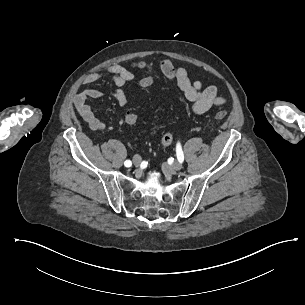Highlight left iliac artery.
<instances>
[{
  "label": "left iliac artery",
  "mask_w": 305,
  "mask_h": 305,
  "mask_svg": "<svg viewBox=\"0 0 305 305\" xmlns=\"http://www.w3.org/2000/svg\"><path fill=\"white\" fill-rule=\"evenodd\" d=\"M176 153H177V158H178L179 162H183L184 155H183V151H182V148L180 146V143L177 144Z\"/></svg>",
  "instance_id": "44dca946"
}]
</instances>
